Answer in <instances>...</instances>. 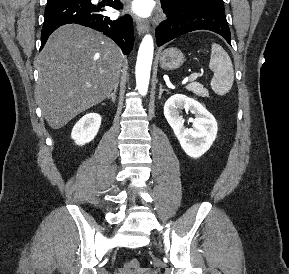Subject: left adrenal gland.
<instances>
[{"mask_svg":"<svg viewBox=\"0 0 289 274\" xmlns=\"http://www.w3.org/2000/svg\"><path fill=\"white\" fill-rule=\"evenodd\" d=\"M164 91H167V90L163 89V88H162V84H160L159 96H158L159 99H161L162 93H163Z\"/></svg>","mask_w":289,"mask_h":274,"instance_id":"obj_1","label":"left adrenal gland"}]
</instances>
